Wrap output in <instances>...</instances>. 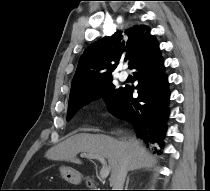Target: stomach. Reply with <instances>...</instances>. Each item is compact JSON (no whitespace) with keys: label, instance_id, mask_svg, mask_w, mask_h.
<instances>
[{"label":"stomach","instance_id":"stomach-1","mask_svg":"<svg viewBox=\"0 0 210 191\" xmlns=\"http://www.w3.org/2000/svg\"><path fill=\"white\" fill-rule=\"evenodd\" d=\"M62 178L69 183L79 184L82 181V175L73 168L62 166L60 168Z\"/></svg>","mask_w":210,"mask_h":191}]
</instances>
